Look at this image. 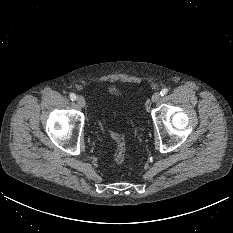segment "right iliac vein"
Returning <instances> with one entry per match:
<instances>
[{
	"instance_id": "right-iliac-vein-1",
	"label": "right iliac vein",
	"mask_w": 233,
	"mask_h": 233,
	"mask_svg": "<svg viewBox=\"0 0 233 233\" xmlns=\"http://www.w3.org/2000/svg\"><path fill=\"white\" fill-rule=\"evenodd\" d=\"M76 100H77V104L79 105V107H81V108L85 107L86 101H85L83 96L79 95Z\"/></svg>"
}]
</instances>
